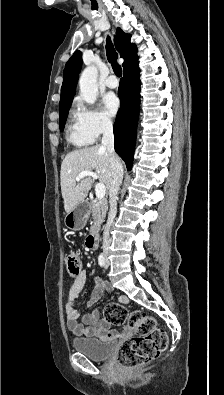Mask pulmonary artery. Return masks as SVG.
I'll return each instance as SVG.
<instances>
[{"label": "pulmonary artery", "instance_id": "1", "mask_svg": "<svg viewBox=\"0 0 224 395\" xmlns=\"http://www.w3.org/2000/svg\"><path fill=\"white\" fill-rule=\"evenodd\" d=\"M105 85L108 88H116L118 86V80L116 79L115 76H109L105 80Z\"/></svg>", "mask_w": 224, "mask_h": 395}]
</instances>
